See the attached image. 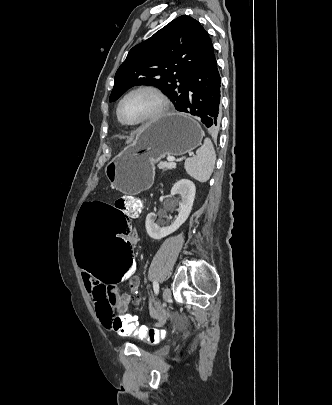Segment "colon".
I'll return each instance as SVG.
<instances>
[{
  "mask_svg": "<svg viewBox=\"0 0 332 405\" xmlns=\"http://www.w3.org/2000/svg\"><path fill=\"white\" fill-rule=\"evenodd\" d=\"M126 211L138 215L142 211L141 200L125 195L113 205L94 197L92 202H81L77 220H72L74 253L79 268H83V275H95L96 281H104L105 287H122L123 281H134L137 273L133 259V227L130 220H126ZM112 326L119 330L124 342L136 338L137 346H144L146 340L158 343L167 330L163 325L139 322L132 311L114 315Z\"/></svg>",
  "mask_w": 332,
  "mask_h": 405,
  "instance_id": "colon-1",
  "label": "colon"
}]
</instances>
